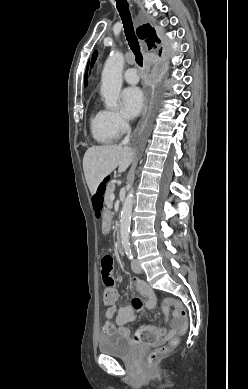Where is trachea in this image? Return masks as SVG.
<instances>
[{
  "label": "trachea",
  "mask_w": 248,
  "mask_h": 389,
  "mask_svg": "<svg viewBox=\"0 0 248 389\" xmlns=\"http://www.w3.org/2000/svg\"><path fill=\"white\" fill-rule=\"evenodd\" d=\"M116 6L121 16L124 32L130 49L135 55L136 62L139 66H143V57L140 52L139 42L134 33L133 23L131 20V14L129 12V6L126 0H116Z\"/></svg>",
  "instance_id": "obj_1"
}]
</instances>
